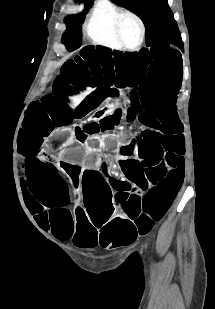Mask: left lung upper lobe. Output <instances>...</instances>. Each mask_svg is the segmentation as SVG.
I'll use <instances>...</instances> for the list:
<instances>
[{
    "label": "left lung upper lobe",
    "instance_id": "obj_1",
    "mask_svg": "<svg viewBox=\"0 0 215 309\" xmlns=\"http://www.w3.org/2000/svg\"><path fill=\"white\" fill-rule=\"evenodd\" d=\"M126 4L142 19L146 27V45L161 43L182 46L181 35L168 0H114Z\"/></svg>",
    "mask_w": 215,
    "mask_h": 309
}]
</instances>
